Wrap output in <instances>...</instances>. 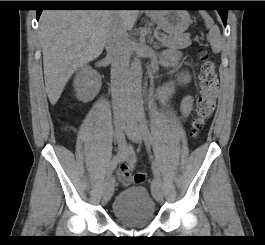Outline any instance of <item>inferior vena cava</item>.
Masks as SVG:
<instances>
[{
  "label": "inferior vena cava",
  "instance_id": "obj_1",
  "mask_svg": "<svg viewBox=\"0 0 265 245\" xmlns=\"http://www.w3.org/2000/svg\"><path fill=\"white\" fill-rule=\"evenodd\" d=\"M107 57L111 60V92L115 116L126 114L131 109L129 83V38L118 17L111 22L106 32Z\"/></svg>",
  "mask_w": 265,
  "mask_h": 245
}]
</instances>
